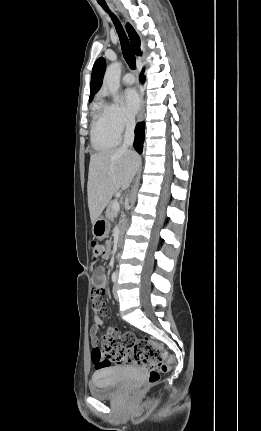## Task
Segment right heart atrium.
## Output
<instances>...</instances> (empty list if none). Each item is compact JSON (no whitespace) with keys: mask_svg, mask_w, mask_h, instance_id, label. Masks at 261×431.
Here are the masks:
<instances>
[{"mask_svg":"<svg viewBox=\"0 0 261 431\" xmlns=\"http://www.w3.org/2000/svg\"><path fill=\"white\" fill-rule=\"evenodd\" d=\"M107 122L112 131L121 135L126 130L133 127L134 121L124 109L116 102H108L103 106Z\"/></svg>","mask_w":261,"mask_h":431,"instance_id":"obj_1","label":"right heart atrium"}]
</instances>
